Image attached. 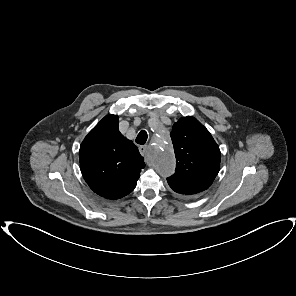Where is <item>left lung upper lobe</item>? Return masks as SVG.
<instances>
[{
    "label": "left lung upper lobe",
    "mask_w": 296,
    "mask_h": 296,
    "mask_svg": "<svg viewBox=\"0 0 296 296\" xmlns=\"http://www.w3.org/2000/svg\"><path fill=\"white\" fill-rule=\"evenodd\" d=\"M171 139L176 156L175 173L167 178L176 192L193 197L208 189L220 169V149L209 131L195 118L174 123Z\"/></svg>",
    "instance_id": "5c2ea615"
}]
</instances>
